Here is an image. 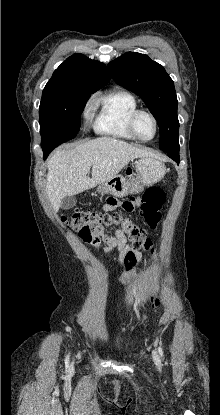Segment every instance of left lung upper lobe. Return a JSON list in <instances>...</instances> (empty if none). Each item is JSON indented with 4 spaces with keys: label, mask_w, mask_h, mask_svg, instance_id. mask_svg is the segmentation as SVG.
Instances as JSON below:
<instances>
[{
    "label": "left lung upper lobe",
    "mask_w": 220,
    "mask_h": 415,
    "mask_svg": "<svg viewBox=\"0 0 220 415\" xmlns=\"http://www.w3.org/2000/svg\"><path fill=\"white\" fill-rule=\"evenodd\" d=\"M116 83L140 95L157 120L159 148L179 151L178 101L174 82L163 66L147 55L127 52L108 64Z\"/></svg>",
    "instance_id": "5c2ea615"
}]
</instances>
